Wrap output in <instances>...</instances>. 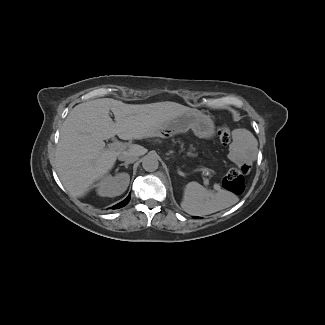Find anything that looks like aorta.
<instances>
[{
	"instance_id": "aorta-1",
	"label": "aorta",
	"mask_w": 325,
	"mask_h": 325,
	"mask_svg": "<svg viewBox=\"0 0 325 325\" xmlns=\"http://www.w3.org/2000/svg\"><path fill=\"white\" fill-rule=\"evenodd\" d=\"M142 166H143L144 170H146L148 172L156 171L159 166L157 156L154 154H147L142 159Z\"/></svg>"
}]
</instances>
